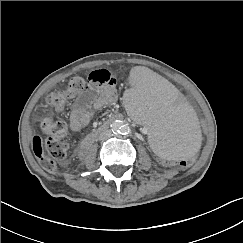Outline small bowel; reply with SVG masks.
I'll return each instance as SVG.
<instances>
[{
	"instance_id": "small-bowel-1",
	"label": "small bowel",
	"mask_w": 243,
	"mask_h": 243,
	"mask_svg": "<svg viewBox=\"0 0 243 243\" xmlns=\"http://www.w3.org/2000/svg\"><path fill=\"white\" fill-rule=\"evenodd\" d=\"M116 101V81L111 85H98L97 83L89 85L87 91L79 96L72 106L71 130L79 132L90 122L95 112Z\"/></svg>"
}]
</instances>
